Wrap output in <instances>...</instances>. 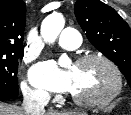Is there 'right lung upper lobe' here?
I'll list each match as a JSON object with an SVG mask.
<instances>
[{"label": "right lung upper lobe", "instance_id": "1", "mask_svg": "<svg viewBox=\"0 0 131 115\" xmlns=\"http://www.w3.org/2000/svg\"><path fill=\"white\" fill-rule=\"evenodd\" d=\"M25 22L23 0H0V54L21 52Z\"/></svg>", "mask_w": 131, "mask_h": 115}]
</instances>
